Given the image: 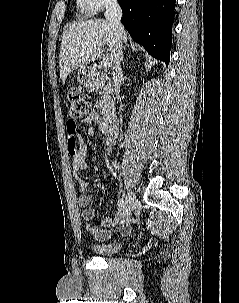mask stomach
Returning <instances> with one entry per match:
<instances>
[{"label":"stomach","instance_id":"stomach-1","mask_svg":"<svg viewBox=\"0 0 239 303\" xmlns=\"http://www.w3.org/2000/svg\"><path fill=\"white\" fill-rule=\"evenodd\" d=\"M77 80L80 85L84 87H90L94 83L93 76L91 74V70L87 67L79 68L77 73Z\"/></svg>","mask_w":239,"mask_h":303}]
</instances>
